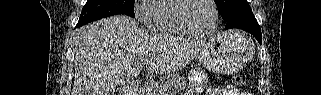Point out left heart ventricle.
<instances>
[{
  "label": "left heart ventricle",
  "mask_w": 321,
  "mask_h": 95,
  "mask_svg": "<svg viewBox=\"0 0 321 95\" xmlns=\"http://www.w3.org/2000/svg\"><path fill=\"white\" fill-rule=\"evenodd\" d=\"M185 17L200 32H207L214 25V11L208 0L193 1L185 10Z\"/></svg>",
  "instance_id": "b2bd125f"
}]
</instances>
